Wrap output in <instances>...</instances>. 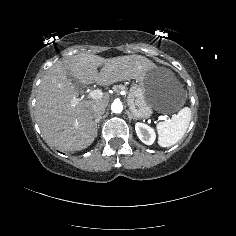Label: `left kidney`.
Wrapping results in <instances>:
<instances>
[{"instance_id": "left-kidney-1", "label": "left kidney", "mask_w": 236, "mask_h": 236, "mask_svg": "<svg viewBox=\"0 0 236 236\" xmlns=\"http://www.w3.org/2000/svg\"><path fill=\"white\" fill-rule=\"evenodd\" d=\"M135 130L139 139L146 145H152L155 141L156 135L150 126L144 123H136Z\"/></svg>"}]
</instances>
